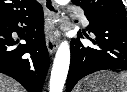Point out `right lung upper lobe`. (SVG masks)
Instances as JSON below:
<instances>
[{
  "instance_id": "1",
  "label": "right lung upper lobe",
  "mask_w": 127,
  "mask_h": 92,
  "mask_svg": "<svg viewBox=\"0 0 127 92\" xmlns=\"http://www.w3.org/2000/svg\"><path fill=\"white\" fill-rule=\"evenodd\" d=\"M38 4L36 0H0V23L27 14Z\"/></svg>"
}]
</instances>
